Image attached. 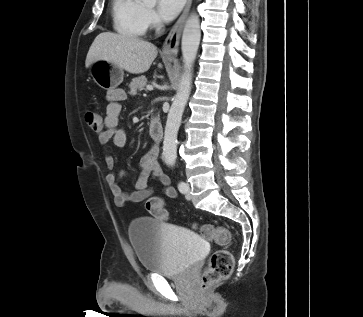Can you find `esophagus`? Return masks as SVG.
Returning <instances> with one entry per match:
<instances>
[{
	"label": "esophagus",
	"instance_id": "obj_1",
	"mask_svg": "<svg viewBox=\"0 0 363 317\" xmlns=\"http://www.w3.org/2000/svg\"><path fill=\"white\" fill-rule=\"evenodd\" d=\"M191 4H192V0H187L186 6H185L181 16L176 21V23L170 30L168 36L166 37L165 42L163 44V48H162L163 56L168 57V58H175L177 56L182 30H183L186 18L188 16Z\"/></svg>",
	"mask_w": 363,
	"mask_h": 317
}]
</instances>
